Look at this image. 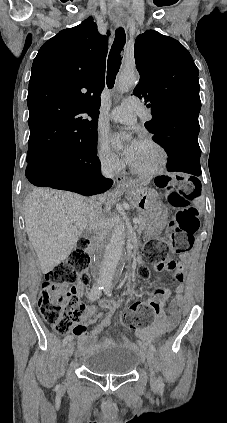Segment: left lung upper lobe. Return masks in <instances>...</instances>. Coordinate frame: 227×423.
I'll list each match as a JSON object with an SVG mask.
<instances>
[{"mask_svg": "<svg viewBox=\"0 0 227 423\" xmlns=\"http://www.w3.org/2000/svg\"><path fill=\"white\" fill-rule=\"evenodd\" d=\"M134 52L140 81L133 94L151 108L153 118L145 127L154 138L199 126V72L188 50L177 40L148 30L137 37Z\"/></svg>", "mask_w": 227, "mask_h": 423, "instance_id": "left-lung-upper-lobe-1", "label": "left lung upper lobe"}]
</instances>
